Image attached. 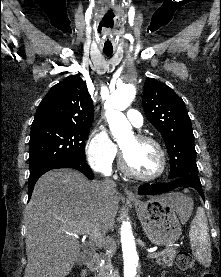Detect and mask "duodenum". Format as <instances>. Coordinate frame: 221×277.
Segmentation results:
<instances>
[{
    "label": "duodenum",
    "instance_id": "410a0bca",
    "mask_svg": "<svg viewBox=\"0 0 221 277\" xmlns=\"http://www.w3.org/2000/svg\"><path fill=\"white\" fill-rule=\"evenodd\" d=\"M100 265V256L99 254H94L89 261L88 269L90 271H96L99 268Z\"/></svg>",
    "mask_w": 221,
    "mask_h": 277
}]
</instances>
